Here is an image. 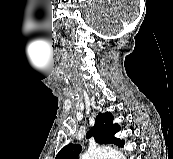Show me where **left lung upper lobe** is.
I'll return each mask as SVG.
<instances>
[{"label": "left lung upper lobe", "instance_id": "1", "mask_svg": "<svg viewBox=\"0 0 173 159\" xmlns=\"http://www.w3.org/2000/svg\"><path fill=\"white\" fill-rule=\"evenodd\" d=\"M113 120L114 116L109 112L99 114L94 127L86 134V137L90 138L93 135L95 141L100 144H115L123 147L124 141L114 137L115 133L120 131V126L114 124ZM80 152V145L68 144L59 151L55 159H78Z\"/></svg>", "mask_w": 173, "mask_h": 159}]
</instances>
